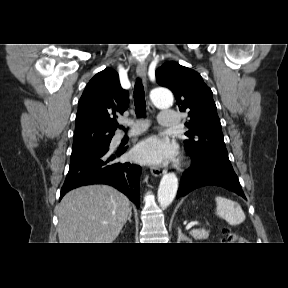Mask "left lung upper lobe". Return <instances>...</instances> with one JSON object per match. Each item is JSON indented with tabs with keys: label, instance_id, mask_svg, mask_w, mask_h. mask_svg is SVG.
<instances>
[{
	"label": "left lung upper lobe",
	"instance_id": "5c2ea615",
	"mask_svg": "<svg viewBox=\"0 0 288 288\" xmlns=\"http://www.w3.org/2000/svg\"><path fill=\"white\" fill-rule=\"evenodd\" d=\"M157 83L169 88L176 97L180 111L188 112L185 123V149L190 156L213 159L232 166L223 139L220 119L211 89L196 71L175 61L166 62L156 70Z\"/></svg>",
	"mask_w": 288,
	"mask_h": 288
}]
</instances>
